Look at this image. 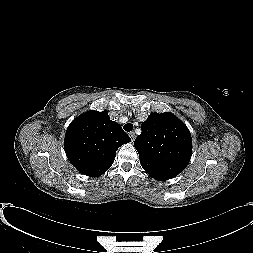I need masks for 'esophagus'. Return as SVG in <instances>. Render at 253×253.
I'll return each instance as SVG.
<instances>
[{
	"label": "esophagus",
	"instance_id": "obj_1",
	"mask_svg": "<svg viewBox=\"0 0 253 253\" xmlns=\"http://www.w3.org/2000/svg\"><path fill=\"white\" fill-rule=\"evenodd\" d=\"M129 136L131 138V141L133 142L135 140V137H136L135 133L134 132H130Z\"/></svg>",
	"mask_w": 253,
	"mask_h": 253
}]
</instances>
